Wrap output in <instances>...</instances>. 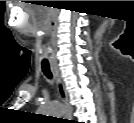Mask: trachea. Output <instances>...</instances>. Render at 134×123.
Wrapping results in <instances>:
<instances>
[{
	"mask_svg": "<svg viewBox=\"0 0 134 123\" xmlns=\"http://www.w3.org/2000/svg\"><path fill=\"white\" fill-rule=\"evenodd\" d=\"M42 71L47 78H49V79L52 78V73L50 71V66H49L48 62L42 61Z\"/></svg>",
	"mask_w": 134,
	"mask_h": 123,
	"instance_id": "trachea-1",
	"label": "trachea"
}]
</instances>
